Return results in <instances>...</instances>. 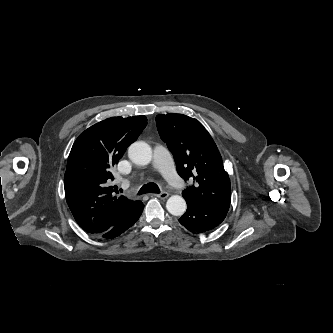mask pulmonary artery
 Masks as SVG:
<instances>
[{
  "mask_svg": "<svg viewBox=\"0 0 333 333\" xmlns=\"http://www.w3.org/2000/svg\"><path fill=\"white\" fill-rule=\"evenodd\" d=\"M153 165L158 171H160L168 183L174 186L181 184V180L172 164L170 154L165 147H155Z\"/></svg>",
  "mask_w": 333,
  "mask_h": 333,
  "instance_id": "pulmonary-artery-1",
  "label": "pulmonary artery"
}]
</instances>
